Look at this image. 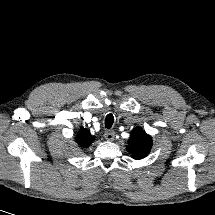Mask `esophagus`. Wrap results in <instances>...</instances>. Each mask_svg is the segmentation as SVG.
I'll use <instances>...</instances> for the list:
<instances>
[{
	"mask_svg": "<svg viewBox=\"0 0 215 215\" xmlns=\"http://www.w3.org/2000/svg\"><path fill=\"white\" fill-rule=\"evenodd\" d=\"M104 137H105L106 140L112 141V140H114L115 132L112 131V130H107V131L104 133Z\"/></svg>",
	"mask_w": 215,
	"mask_h": 215,
	"instance_id": "1",
	"label": "esophagus"
}]
</instances>
